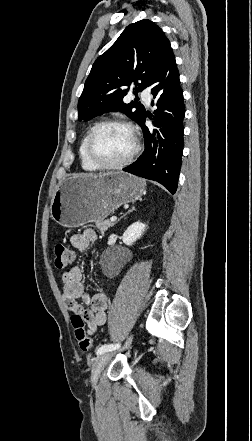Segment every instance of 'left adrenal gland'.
I'll list each match as a JSON object with an SVG mask.
<instances>
[{
  "mask_svg": "<svg viewBox=\"0 0 252 441\" xmlns=\"http://www.w3.org/2000/svg\"><path fill=\"white\" fill-rule=\"evenodd\" d=\"M135 210V208L134 207H132L130 210H128V212L126 213V214H124L122 217H124V216H126L127 214H129L130 212H132V211H134ZM121 217V218H122Z\"/></svg>",
  "mask_w": 252,
  "mask_h": 441,
  "instance_id": "left-adrenal-gland-1",
  "label": "left adrenal gland"
}]
</instances>
